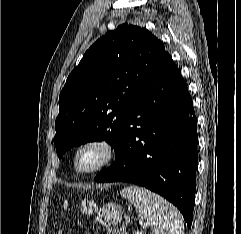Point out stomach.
I'll return each mask as SVG.
<instances>
[{
	"mask_svg": "<svg viewBox=\"0 0 241 234\" xmlns=\"http://www.w3.org/2000/svg\"><path fill=\"white\" fill-rule=\"evenodd\" d=\"M92 206H83V213H90ZM98 214L103 217V219L110 223L117 225L121 222L123 216V209L120 205L116 203L109 202L104 204L101 208L97 210Z\"/></svg>",
	"mask_w": 241,
	"mask_h": 234,
	"instance_id": "1",
	"label": "stomach"
}]
</instances>
